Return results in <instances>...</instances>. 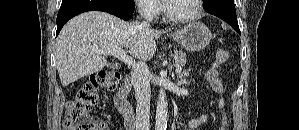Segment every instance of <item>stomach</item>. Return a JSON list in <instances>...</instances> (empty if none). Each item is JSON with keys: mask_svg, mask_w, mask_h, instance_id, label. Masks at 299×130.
Wrapping results in <instances>:
<instances>
[{"mask_svg": "<svg viewBox=\"0 0 299 130\" xmlns=\"http://www.w3.org/2000/svg\"><path fill=\"white\" fill-rule=\"evenodd\" d=\"M184 49L196 52L206 48L212 39L209 28L201 22H192L171 34Z\"/></svg>", "mask_w": 299, "mask_h": 130, "instance_id": "0dacf381", "label": "stomach"}]
</instances>
